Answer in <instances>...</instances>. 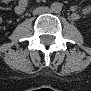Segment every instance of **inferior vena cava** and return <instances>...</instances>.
<instances>
[{
    "mask_svg": "<svg viewBox=\"0 0 91 91\" xmlns=\"http://www.w3.org/2000/svg\"><path fill=\"white\" fill-rule=\"evenodd\" d=\"M47 11H48L47 7H39V8H36L33 13L39 14V13H44V12H47Z\"/></svg>",
    "mask_w": 91,
    "mask_h": 91,
    "instance_id": "inferior-vena-cava-1",
    "label": "inferior vena cava"
}]
</instances>
